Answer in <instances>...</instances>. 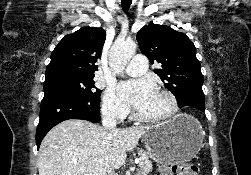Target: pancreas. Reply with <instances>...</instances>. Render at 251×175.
Returning <instances> with one entry per match:
<instances>
[{
    "label": "pancreas",
    "instance_id": "obj_1",
    "mask_svg": "<svg viewBox=\"0 0 251 175\" xmlns=\"http://www.w3.org/2000/svg\"><path fill=\"white\" fill-rule=\"evenodd\" d=\"M139 155L140 161L138 163L139 167L137 175H145V173L152 171V161H150L149 155H147V151H144V149H140Z\"/></svg>",
    "mask_w": 251,
    "mask_h": 175
}]
</instances>
